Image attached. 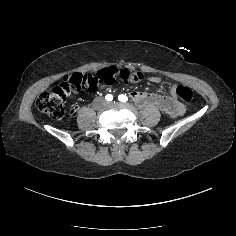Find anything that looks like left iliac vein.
<instances>
[{
  "mask_svg": "<svg viewBox=\"0 0 236 236\" xmlns=\"http://www.w3.org/2000/svg\"><path fill=\"white\" fill-rule=\"evenodd\" d=\"M112 104H114V103H108V105H112Z\"/></svg>",
  "mask_w": 236,
  "mask_h": 236,
  "instance_id": "left-iliac-vein-1",
  "label": "left iliac vein"
}]
</instances>
